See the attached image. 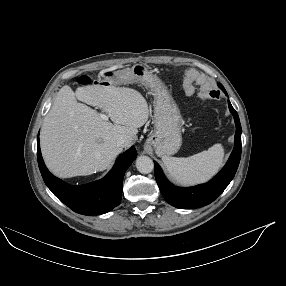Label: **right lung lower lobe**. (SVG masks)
<instances>
[{"label": "right lung lower lobe", "instance_id": "right-lung-lower-lobe-1", "mask_svg": "<svg viewBox=\"0 0 286 286\" xmlns=\"http://www.w3.org/2000/svg\"><path fill=\"white\" fill-rule=\"evenodd\" d=\"M137 157L135 147L121 154L112 170L101 180L81 186H71L52 175L42 159L39 136L37 138V158L39 169L47 187L70 209L82 215L104 214L121 201L125 171Z\"/></svg>", "mask_w": 286, "mask_h": 286}]
</instances>
